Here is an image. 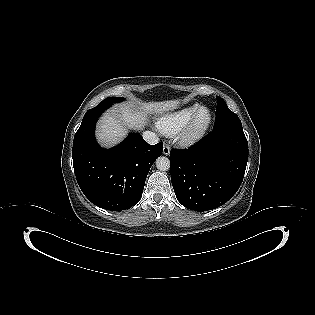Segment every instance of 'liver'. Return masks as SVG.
I'll use <instances>...</instances> for the list:
<instances>
[{"label": "liver", "instance_id": "obj_1", "mask_svg": "<svg viewBox=\"0 0 315 315\" xmlns=\"http://www.w3.org/2000/svg\"><path fill=\"white\" fill-rule=\"evenodd\" d=\"M180 104L178 99L161 102H136L120 105L105 113L98 124L97 138L104 146H113L127 135L128 129L140 130L150 114H162L175 110Z\"/></svg>", "mask_w": 315, "mask_h": 315}]
</instances>
